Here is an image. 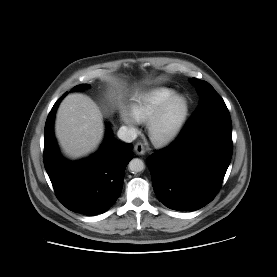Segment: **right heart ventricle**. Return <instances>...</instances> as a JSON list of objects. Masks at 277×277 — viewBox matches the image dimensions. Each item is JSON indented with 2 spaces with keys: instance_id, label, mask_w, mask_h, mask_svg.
Returning a JSON list of instances; mask_svg holds the SVG:
<instances>
[{
  "instance_id": "1",
  "label": "right heart ventricle",
  "mask_w": 277,
  "mask_h": 277,
  "mask_svg": "<svg viewBox=\"0 0 277 277\" xmlns=\"http://www.w3.org/2000/svg\"><path fill=\"white\" fill-rule=\"evenodd\" d=\"M176 94L172 88L157 87L137 96L131 106V114L138 122H147L156 110Z\"/></svg>"
}]
</instances>
